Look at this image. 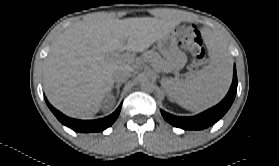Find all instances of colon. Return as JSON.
<instances>
[{
	"mask_svg": "<svg viewBox=\"0 0 279 166\" xmlns=\"http://www.w3.org/2000/svg\"><path fill=\"white\" fill-rule=\"evenodd\" d=\"M180 46L187 50L197 62L205 56V49L201 34L195 25H182L177 29Z\"/></svg>",
	"mask_w": 279,
	"mask_h": 166,
	"instance_id": "1",
	"label": "colon"
}]
</instances>
